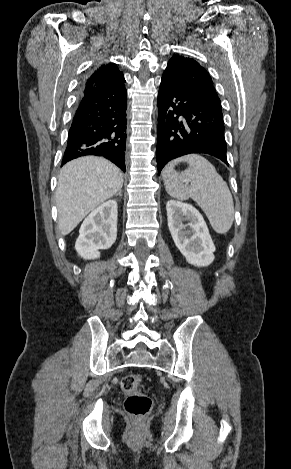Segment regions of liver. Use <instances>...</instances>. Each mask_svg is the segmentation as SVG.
<instances>
[{
  "label": "liver",
  "mask_w": 291,
  "mask_h": 469,
  "mask_svg": "<svg viewBox=\"0 0 291 469\" xmlns=\"http://www.w3.org/2000/svg\"><path fill=\"white\" fill-rule=\"evenodd\" d=\"M123 185L120 169L103 158L87 156L67 163L56 190L58 225L69 234L85 216L113 197Z\"/></svg>",
  "instance_id": "1"
}]
</instances>
